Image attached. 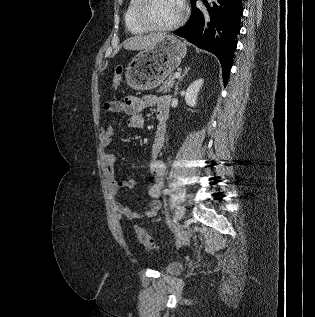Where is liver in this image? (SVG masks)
<instances>
[{"label": "liver", "mask_w": 315, "mask_h": 317, "mask_svg": "<svg viewBox=\"0 0 315 317\" xmlns=\"http://www.w3.org/2000/svg\"><path fill=\"white\" fill-rule=\"evenodd\" d=\"M164 36L160 34H150L146 36H134L124 43V48L127 50H145L153 47Z\"/></svg>", "instance_id": "obj_1"}]
</instances>
